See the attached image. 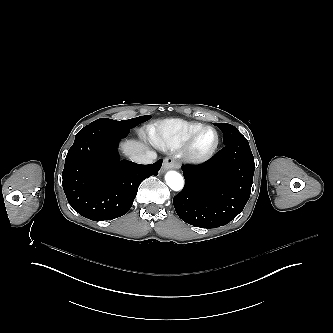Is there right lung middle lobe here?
<instances>
[{
	"label": "right lung middle lobe",
	"mask_w": 333,
	"mask_h": 333,
	"mask_svg": "<svg viewBox=\"0 0 333 333\" xmlns=\"http://www.w3.org/2000/svg\"><path fill=\"white\" fill-rule=\"evenodd\" d=\"M150 118H151L150 115L140 116L137 118H133V119H129V120H122V121H116V120H112V119H108V118H101V119L95 120L92 123L101 124V125H105V126H109V127H113L116 129L125 130V131L129 132L130 129L134 128L135 126H137L140 123H143V122L149 120Z\"/></svg>",
	"instance_id": "dd1d6c3e"
}]
</instances>
